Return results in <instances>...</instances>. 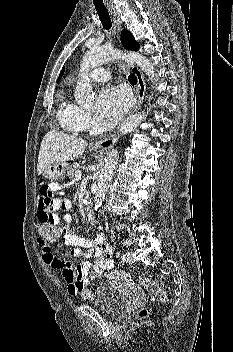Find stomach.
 I'll list each match as a JSON object with an SVG mask.
<instances>
[{
	"mask_svg": "<svg viewBox=\"0 0 233 352\" xmlns=\"http://www.w3.org/2000/svg\"><path fill=\"white\" fill-rule=\"evenodd\" d=\"M95 152L97 153L98 151L95 150ZM66 170V163H55L45 169L42 174L47 179L60 180L64 178Z\"/></svg>",
	"mask_w": 233,
	"mask_h": 352,
	"instance_id": "0dacf381",
	"label": "stomach"
}]
</instances>
